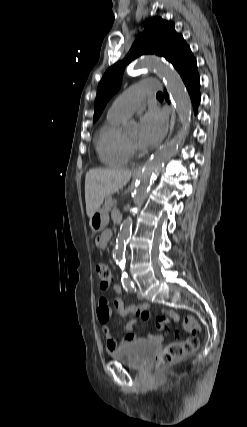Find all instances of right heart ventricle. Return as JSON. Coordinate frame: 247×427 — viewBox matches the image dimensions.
<instances>
[{"label":"right heart ventricle","instance_id":"e07e8e85","mask_svg":"<svg viewBox=\"0 0 247 427\" xmlns=\"http://www.w3.org/2000/svg\"><path fill=\"white\" fill-rule=\"evenodd\" d=\"M121 118L107 116L95 137V148L99 160L109 167H119L130 161L124 139L120 134Z\"/></svg>","mask_w":247,"mask_h":427}]
</instances>
